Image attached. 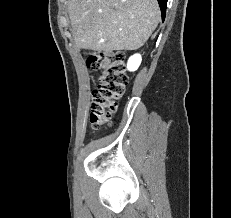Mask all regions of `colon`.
<instances>
[{
    "mask_svg": "<svg viewBox=\"0 0 231 218\" xmlns=\"http://www.w3.org/2000/svg\"><path fill=\"white\" fill-rule=\"evenodd\" d=\"M86 64L100 72L99 83L92 92L89 115L91 127L97 130L109 124L128 79L124 72V56L119 52H91Z\"/></svg>",
    "mask_w": 231,
    "mask_h": 218,
    "instance_id": "obj_1",
    "label": "colon"
}]
</instances>
